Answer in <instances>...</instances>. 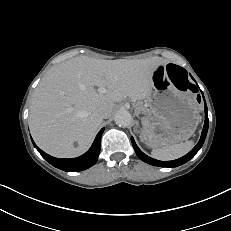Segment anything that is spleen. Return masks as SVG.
Here are the masks:
<instances>
[{
  "label": "spleen",
  "instance_id": "obj_1",
  "mask_svg": "<svg viewBox=\"0 0 231 231\" xmlns=\"http://www.w3.org/2000/svg\"><path fill=\"white\" fill-rule=\"evenodd\" d=\"M193 145L194 142L192 140L185 141L179 144H173V145L154 149L151 152V155L155 159L162 160V161L174 160L187 154L192 149Z\"/></svg>",
  "mask_w": 231,
  "mask_h": 231
}]
</instances>
